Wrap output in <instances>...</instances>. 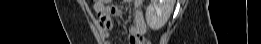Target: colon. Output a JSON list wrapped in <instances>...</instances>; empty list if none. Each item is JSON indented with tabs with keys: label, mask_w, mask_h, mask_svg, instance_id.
Masks as SVG:
<instances>
[{
	"label": "colon",
	"mask_w": 261,
	"mask_h": 44,
	"mask_svg": "<svg viewBox=\"0 0 261 44\" xmlns=\"http://www.w3.org/2000/svg\"><path fill=\"white\" fill-rule=\"evenodd\" d=\"M106 4H109L110 6H115L116 2L115 1H109V0H102V1H96L95 5L96 6H105ZM149 41L145 37H139L136 39V44H147Z\"/></svg>",
	"instance_id": "colon-1"
}]
</instances>
